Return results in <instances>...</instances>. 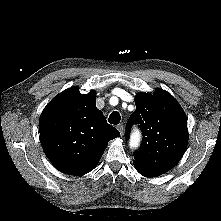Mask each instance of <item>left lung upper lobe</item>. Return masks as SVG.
<instances>
[{"label": "left lung upper lobe", "instance_id": "left-lung-upper-lobe-1", "mask_svg": "<svg viewBox=\"0 0 221 221\" xmlns=\"http://www.w3.org/2000/svg\"><path fill=\"white\" fill-rule=\"evenodd\" d=\"M136 110L126 127L130 134L132 124H139L143 143L134 152L135 166L164 174L182 158L188 142L187 117L178 102L166 91L141 93L135 97Z\"/></svg>", "mask_w": 221, "mask_h": 221}]
</instances>
